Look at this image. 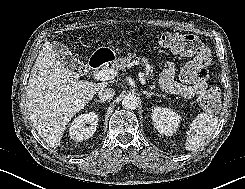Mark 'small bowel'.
<instances>
[{
  "instance_id": "small-bowel-1",
  "label": "small bowel",
  "mask_w": 245,
  "mask_h": 189,
  "mask_svg": "<svg viewBox=\"0 0 245 189\" xmlns=\"http://www.w3.org/2000/svg\"><path fill=\"white\" fill-rule=\"evenodd\" d=\"M174 73L175 68L172 63H166L163 66L159 77V84L165 92L189 99L203 93L208 87L206 80L200 81L194 85H181L173 80Z\"/></svg>"
}]
</instances>
